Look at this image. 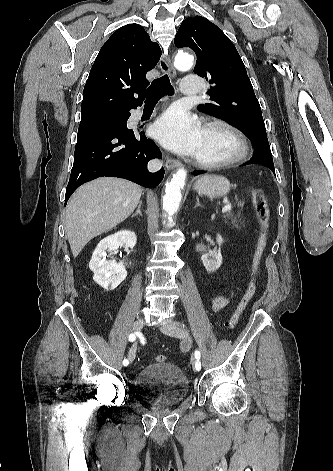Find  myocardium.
Listing matches in <instances>:
<instances>
[{
  "label": "myocardium",
  "mask_w": 333,
  "mask_h": 471,
  "mask_svg": "<svg viewBox=\"0 0 333 471\" xmlns=\"http://www.w3.org/2000/svg\"><path fill=\"white\" fill-rule=\"evenodd\" d=\"M204 130L219 129L224 131L232 139L234 144L233 152L221 159H204L196 156L195 163L207 169L230 166L242 161L248 154L249 146L244 134L235 126L221 119H213L205 123Z\"/></svg>",
  "instance_id": "myocardium-1"
}]
</instances>
